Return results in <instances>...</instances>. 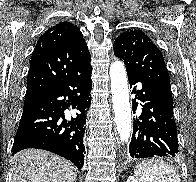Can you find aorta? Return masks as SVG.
I'll list each match as a JSON object with an SVG mask.
<instances>
[{
  "mask_svg": "<svg viewBox=\"0 0 196 182\" xmlns=\"http://www.w3.org/2000/svg\"><path fill=\"white\" fill-rule=\"evenodd\" d=\"M111 93L115 124L121 142H127L131 134V106L124 64L116 61L110 66Z\"/></svg>",
  "mask_w": 196,
  "mask_h": 182,
  "instance_id": "aorta-1",
  "label": "aorta"
}]
</instances>
